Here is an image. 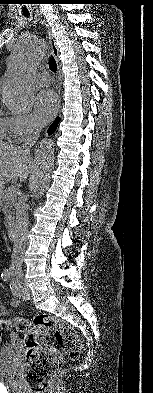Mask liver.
Wrapping results in <instances>:
<instances>
[{
  "label": "liver",
  "mask_w": 153,
  "mask_h": 393,
  "mask_svg": "<svg viewBox=\"0 0 153 393\" xmlns=\"http://www.w3.org/2000/svg\"><path fill=\"white\" fill-rule=\"evenodd\" d=\"M33 168V159L23 147L0 144V190L13 179L25 181Z\"/></svg>",
  "instance_id": "1"
}]
</instances>
